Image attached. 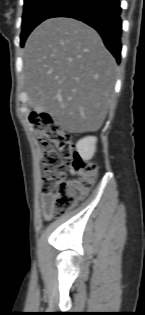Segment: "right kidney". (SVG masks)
I'll return each instance as SVG.
<instances>
[{"label":"right kidney","instance_id":"ca27d5eb","mask_svg":"<svg viewBox=\"0 0 145 315\" xmlns=\"http://www.w3.org/2000/svg\"><path fill=\"white\" fill-rule=\"evenodd\" d=\"M97 138L88 136L79 140L76 144L77 151L82 159L90 160L96 151Z\"/></svg>","mask_w":145,"mask_h":315}]
</instances>
